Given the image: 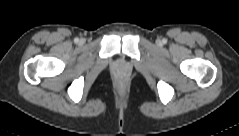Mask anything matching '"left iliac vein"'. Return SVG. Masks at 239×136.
Returning a JSON list of instances; mask_svg holds the SVG:
<instances>
[{"label":"left iliac vein","mask_w":239,"mask_h":136,"mask_svg":"<svg viewBox=\"0 0 239 136\" xmlns=\"http://www.w3.org/2000/svg\"><path fill=\"white\" fill-rule=\"evenodd\" d=\"M157 44L161 45L162 44L161 40H157Z\"/></svg>","instance_id":"4c4485c4"}]
</instances>
